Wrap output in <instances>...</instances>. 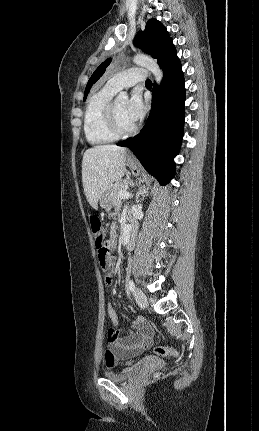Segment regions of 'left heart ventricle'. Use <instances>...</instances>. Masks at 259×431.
<instances>
[{
	"label": "left heart ventricle",
	"instance_id": "b2bd125f",
	"mask_svg": "<svg viewBox=\"0 0 259 431\" xmlns=\"http://www.w3.org/2000/svg\"><path fill=\"white\" fill-rule=\"evenodd\" d=\"M126 102L127 101L125 99L115 100V111H116L117 119L121 127L124 129H128L134 125L126 116V113H125Z\"/></svg>",
	"mask_w": 259,
	"mask_h": 431
}]
</instances>
